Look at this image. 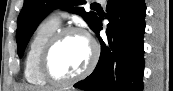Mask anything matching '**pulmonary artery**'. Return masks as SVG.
Returning a JSON list of instances; mask_svg holds the SVG:
<instances>
[{"instance_id": "pulmonary-artery-1", "label": "pulmonary artery", "mask_w": 173, "mask_h": 91, "mask_svg": "<svg viewBox=\"0 0 173 91\" xmlns=\"http://www.w3.org/2000/svg\"><path fill=\"white\" fill-rule=\"evenodd\" d=\"M61 14L64 15L65 13H61ZM56 18L60 21V18L58 16Z\"/></svg>"}]
</instances>
